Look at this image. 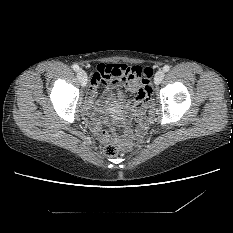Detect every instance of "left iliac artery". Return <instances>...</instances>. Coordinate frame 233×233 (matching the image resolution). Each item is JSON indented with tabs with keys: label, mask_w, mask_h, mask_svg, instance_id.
Here are the masks:
<instances>
[{
	"label": "left iliac artery",
	"mask_w": 233,
	"mask_h": 233,
	"mask_svg": "<svg viewBox=\"0 0 233 233\" xmlns=\"http://www.w3.org/2000/svg\"><path fill=\"white\" fill-rule=\"evenodd\" d=\"M170 70V66L169 65H165L164 67H163V71L164 72H168Z\"/></svg>",
	"instance_id": "left-iliac-artery-1"
}]
</instances>
